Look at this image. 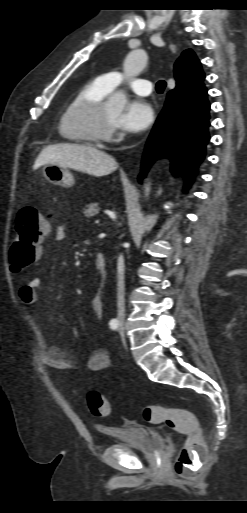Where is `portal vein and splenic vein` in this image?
<instances>
[{"instance_id":"obj_1","label":"portal vein and splenic vein","mask_w":247,"mask_h":513,"mask_svg":"<svg viewBox=\"0 0 247 513\" xmlns=\"http://www.w3.org/2000/svg\"><path fill=\"white\" fill-rule=\"evenodd\" d=\"M95 223H99V220H96Z\"/></svg>"}]
</instances>
